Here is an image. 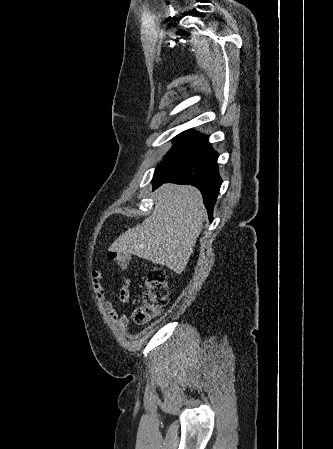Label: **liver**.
I'll list each match as a JSON object with an SVG mask.
<instances>
[{
	"instance_id": "1",
	"label": "liver",
	"mask_w": 333,
	"mask_h": 449,
	"mask_svg": "<svg viewBox=\"0 0 333 449\" xmlns=\"http://www.w3.org/2000/svg\"><path fill=\"white\" fill-rule=\"evenodd\" d=\"M153 197L155 207L151 216L122 233L109 251L134 254L180 274L206 217L201 193L193 186L165 184Z\"/></svg>"
}]
</instances>
